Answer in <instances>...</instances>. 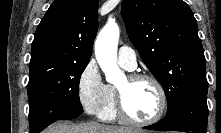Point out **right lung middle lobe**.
<instances>
[{
  "instance_id": "dd1d6c3e",
  "label": "right lung middle lobe",
  "mask_w": 221,
  "mask_h": 133,
  "mask_svg": "<svg viewBox=\"0 0 221 133\" xmlns=\"http://www.w3.org/2000/svg\"><path fill=\"white\" fill-rule=\"evenodd\" d=\"M87 64H64L30 74L28 86L30 108L50 111L75 108L83 112L79 99V81Z\"/></svg>"
}]
</instances>
